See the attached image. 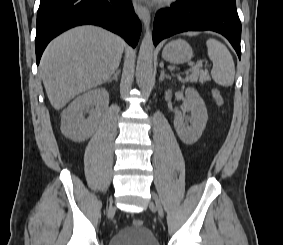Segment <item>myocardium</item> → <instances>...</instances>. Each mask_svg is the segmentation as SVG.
<instances>
[{"label": "myocardium", "mask_w": 283, "mask_h": 245, "mask_svg": "<svg viewBox=\"0 0 283 245\" xmlns=\"http://www.w3.org/2000/svg\"><path fill=\"white\" fill-rule=\"evenodd\" d=\"M178 0H158L159 4L161 6H172L174 5Z\"/></svg>", "instance_id": "1"}]
</instances>
